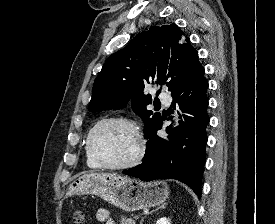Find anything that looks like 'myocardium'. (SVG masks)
<instances>
[{
	"mask_svg": "<svg viewBox=\"0 0 275 224\" xmlns=\"http://www.w3.org/2000/svg\"><path fill=\"white\" fill-rule=\"evenodd\" d=\"M113 122H119L123 123L126 126H128L132 132L134 133L136 142H137V148H136V153L135 155L127 162L121 163V164H110L105 162L95 151L94 146H93V138L96 133V131L103 125L107 123H113ZM86 144H87V149L92 156V158L97 162V164L106 169H112V170H123V169H128L131 168L135 165H137L143 158L144 156V140L143 136L138 128V126L131 121L130 119L123 117V116H108L105 117L101 120H99L97 123L94 124V126L90 129L87 138H86Z\"/></svg>",
	"mask_w": 275,
	"mask_h": 224,
	"instance_id": "1",
	"label": "myocardium"
}]
</instances>
